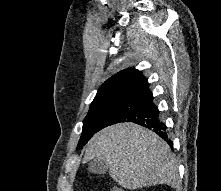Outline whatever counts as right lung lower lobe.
I'll return each mask as SVG.
<instances>
[{"instance_id":"1","label":"right lung lower lobe","mask_w":221,"mask_h":191,"mask_svg":"<svg viewBox=\"0 0 221 191\" xmlns=\"http://www.w3.org/2000/svg\"><path fill=\"white\" fill-rule=\"evenodd\" d=\"M119 122H133L149 128L173 147L172 141L168 139L166 126L159 119V110L153 103L147 81L129 91L113 106L100 130Z\"/></svg>"}]
</instances>
